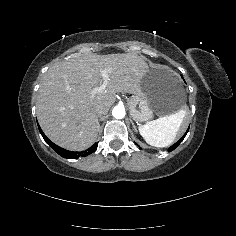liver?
Masks as SVG:
<instances>
[{
  "mask_svg": "<svg viewBox=\"0 0 236 236\" xmlns=\"http://www.w3.org/2000/svg\"><path fill=\"white\" fill-rule=\"evenodd\" d=\"M112 72L108 79L101 70ZM149 70L148 63L134 53L97 55L85 53L56 63L43 75L36 101V118L46 137L61 148L84 151L99 132L96 110L106 114L116 92H134ZM105 90L91 95V89Z\"/></svg>",
  "mask_w": 236,
  "mask_h": 236,
  "instance_id": "liver-1",
  "label": "liver"
}]
</instances>
